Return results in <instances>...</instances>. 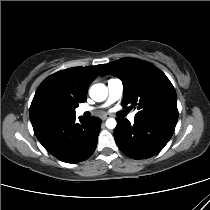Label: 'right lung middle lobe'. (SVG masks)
<instances>
[{
    "instance_id": "obj_1",
    "label": "right lung middle lobe",
    "mask_w": 210,
    "mask_h": 210,
    "mask_svg": "<svg viewBox=\"0 0 210 210\" xmlns=\"http://www.w3.org/2000/svg\"><path fill=\"white\" fill-rule=\"evenodd\" d=\"M75 106L60 101L45 104L31 121L34 132H41L75 114Z\"/></svg>"
}]
</instances>
